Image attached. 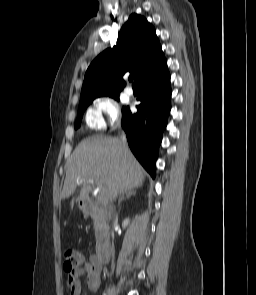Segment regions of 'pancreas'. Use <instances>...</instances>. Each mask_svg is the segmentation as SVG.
<instances>
[{"instance_id": "pancreas-1", "label": "pancreas", "mask_w": 256, "mask_h": 295, "mask_svg": "<svg viewBox=\"0 0 256 295\" xmlns=\"http://www.w3.org/2000/svg\"><path fill=\"white\" fill-rule=\"evenodd\" d=\"M94 229L96 231V237L99 236V234L104 231L105 229V221L103 217L95 216L94 217Z\"/></svg>"}]
</instances>
